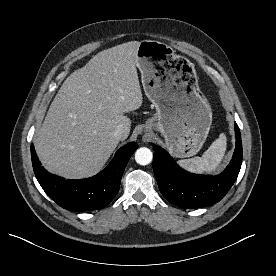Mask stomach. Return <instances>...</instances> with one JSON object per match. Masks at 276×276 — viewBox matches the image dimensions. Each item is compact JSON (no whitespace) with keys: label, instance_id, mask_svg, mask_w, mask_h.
Returning <instances> with one entry per match:
<instances>
[{"label":"stomach","instance_id":"obj_1","mask_svg":"<svg viewBox=\"0 0 276 276\" xmlns=\"http://www.w3.org/2000/svg\"><path fill=\"white\" fill-rule=\"evenodd\" d=\"M136 66L145 94L156 108L148 127L163 135L173 157L197 154L209 133L212 111L199 89L194 64L165 43L143 40Z\"/></svg>","mask_w":276,"mask_h":276}]
</instances>
